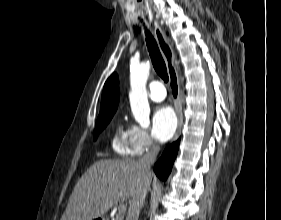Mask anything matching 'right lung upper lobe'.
<instances>
[{"instance_id":"obj_1","label":"right lung upper lobe","mask_w":281,"mask_h":220,"mask_svg":"<svg viewBox=\"0 0 281 220\" xmlns=\"http://www.w3.org/2000/svg\"><path fill=\"white\" fill-rule=\"evenodd\" d=\"M119 103L118 76L113 73L105 82L99 117L113 115Z\"/></svg>"}]
</instances>
